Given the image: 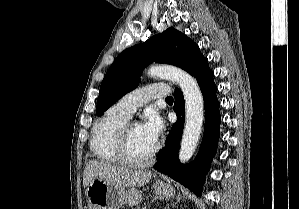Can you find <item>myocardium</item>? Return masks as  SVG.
I'll return each mask as SVG.
<instances>
[{"instance_id": "myocardium-1", "label": "myocardium", "mask_w": 299, "mask_h": 209, "mask_svg": "<svg viewBox=\"0 0 299 209\" xmlns=\"http://www.w3.org/2000/svg\"><path fill=\"white\" fill-rule=\"evenodd\" d=\"M133 125H139V124L137 122L127 121L121 127L118 133L117 152H118L120 162L125 166L132 167V168H143L150 165L153 162L155 156L158 153L159 147L156 144L152 152L144 160L135 161L131 159L128 153V143H129V130Z\"/></svg>"}]
</instances>
